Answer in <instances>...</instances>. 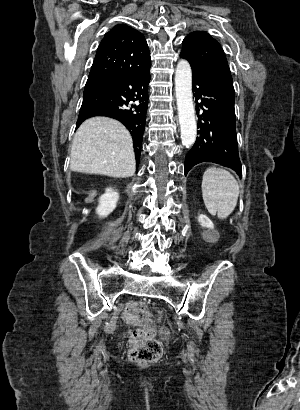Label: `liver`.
Here are the masks:
<instances>
[{
  "label": "liver",
  "mask_w": 300,
  "mask_h": 410,
  "mask_svg": "<svg viewBox=\"0 0 300 410\" xmlns=\"http://www.w3.org/2000/svg\"><path fill=\"white\" fill-rule=\"evenodd\" d=\"M70 169L116 178L135 173L133 141L119 121L93 117L81 124L71 146Z\"/></svg>",
  "instance_id": "1"
}]
</instances>
